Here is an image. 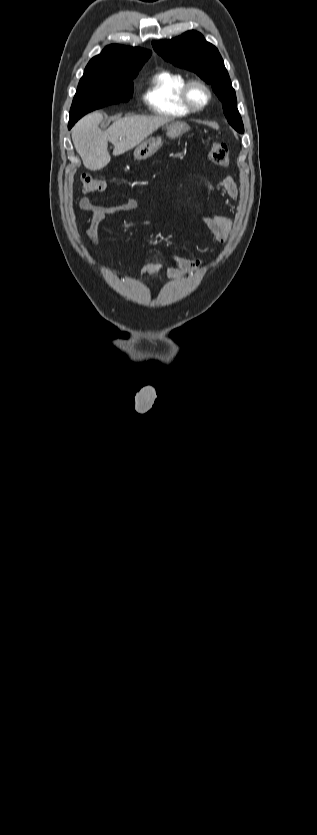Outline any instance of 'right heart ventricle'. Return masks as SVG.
<instances>
[{
  "instance_id": "right-heart-ventricle-1",
  "label": "right heart ventricle",
  "mask_w": 317,
  "mask_h": 835,
  "mask_svg": "<svg viewBox=\"0 0 317 835\" xmlns=\"http://www.w3.org/2000/svg\"><path fill=\"white\" fill-rule=\"evenodd\" d=\"M187 78L178 72L162 69L154 73L144 89L143 99L152 112L161 116H184L191 111L181 98Z\"/></svg>"
}]
</instances>
